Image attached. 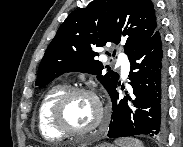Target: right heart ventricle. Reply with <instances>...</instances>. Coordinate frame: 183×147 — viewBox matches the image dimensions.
<instances>
[{
  "label": "right heart ventricle",
  "mask_w": 183,
  "mask_h": 147,
  "mask_svg": "<svg viewBox=\"0 0 183 147\" xmlns=\"http://www.w3.org/2000/svg\"><path fill=\"white\" fill-rule=\"evenodd\" d=\"M66 91L64 85H55L44 94L37 113L38 129L48 140L62 139L65 134L57 130L52 123V109L58 98Z\"/></svg>",
  "instance_id": "e07e8e85"
}]
</instances>
